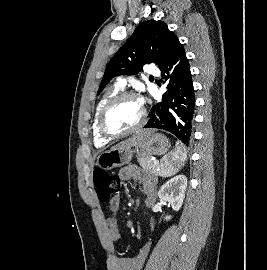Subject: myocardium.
<instances>
[{
  "label": "myocardium",
  "instance_id": "obj_1",
  "mask_svg": "<svg viewBox=\"0 0 267 270\" xmlns=\"http://www.w3.org/2000/svg\"><path fill=\"white\" fill-rule=\"evenodd\" d=\"M135 100L138 101L137 98L135 97V95L128 93V92H122V93H118L117 95H115L114 97H112L101 109L99 116H98V131L99 134L106 140H116V139H120L123 138L125 136H128L138 130H140L144 124L146 123V119H147V112L145 110V108L143 106H141L142 108V114H141V118L139 120V122L132 127L129 130L123 131V132H119V133H113L111 132L106 124V120H107V116L109 114V112L121 101L124 100Z\"/></svg>",
  "mask_w": 267,
  "mask_h": 270
}]
</instances>
